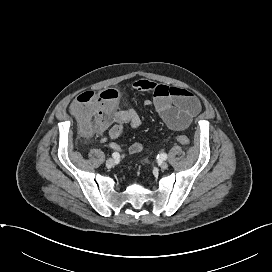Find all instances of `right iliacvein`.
<instances>
[{"mask_svg":"<svg viewBox=\"0 0 272 272\" xmlns=\"http://www.w3.org/2000/svg\"><path fill=\"white\" fill-rule=\"evenodd\" d=\"M114 160L112 158H109L107 161H106V166L107 168H112L114 166Z\"/></svg>","mask_w":272,"mask_h":272,"instance_id":"obj_1","label":"right iliac vein"}]
</instances>
